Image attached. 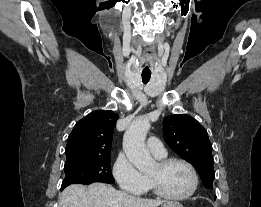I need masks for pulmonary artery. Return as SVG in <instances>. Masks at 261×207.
<instances>
[{
  "instance_id": "pulmonary-artery-1",
  "label": "pulmonary artery",
  "mask_w": 261,
  "mask_h": 207,
  "mask_svg": "<svg viewBox=\"0 0 261 207\" xmlns=\"http://www.w3.org/2000/svg\"><path fill=\"white\" fill-rule=\"evenodd\" d=\"M147 148L150 153L156 158H164L167 155L166 149L159 139L156 137H150L147 140Z\"/></svg>"
}]
</instances>
